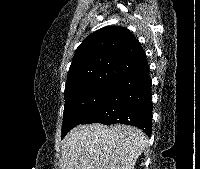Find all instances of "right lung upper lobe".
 <instances>
[{"mask_svg": "<svg viewBox=\"0 0 200 169\" xmlns=\"http://www.w3.org/2000/svg\"><path fill=\"white\" fill-rule=\"evenodd\" d=\"M148 69L141 44L126 28L107 26L77 48L65 85V99L103 80L119 81Z\"/></svg>", "mask_w": 200, "mask_h": 169, "instance_id": "cb5924a9", "label": "right lung upper lobe"}]
</instances>
